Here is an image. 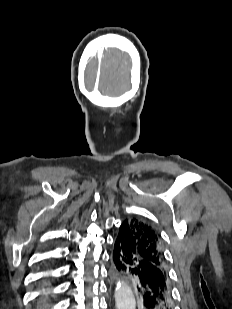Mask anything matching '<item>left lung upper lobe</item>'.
Returning a JSON list of instances; mask_svg holds the SVG:
<instances>
[{"label":"left lung upper lobe","instance_id":"1","mask_svg":"<svg viewBox=\"0 0 232 309\" xmlns=\"http://www.w3.org/2000/svg\"><path fill=\"white\" fill-rule=\"evenodd\" d=\"M123 223L129 226L139 254L166 271L163 246L157 230L147 221L136 217L128 218Z\"/></svg>","mask_w":232,"mask_h":309}]
</instances>
